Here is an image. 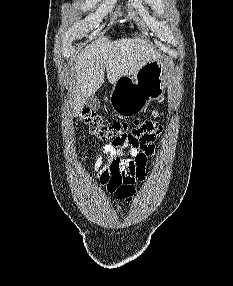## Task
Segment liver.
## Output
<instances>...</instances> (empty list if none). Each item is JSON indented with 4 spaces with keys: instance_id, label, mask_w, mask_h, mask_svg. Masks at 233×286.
<instances>
[{
    "instance_id": "liver-1",
    "label": "liver",
    "mask_w": 233,
    "mask_h": 286,
    "mask_svg": "<svg viewBox=\"0 0 233 286\" xmlns=\"http://www.w3.org/2000/svg\"><path fill=\"white\" fill-rule=\"evenodd\" d=\"M160 56L140 37L116 41L101 37L87 45L76 58V87L72 93L74 115L81 113L86 98L104 83L105 68L108 81L115 84L122 76H134L143 65Z\"/></svg>"
}]
</instances>
